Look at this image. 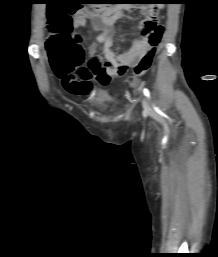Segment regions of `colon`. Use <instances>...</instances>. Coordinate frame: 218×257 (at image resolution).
Wrapping results in <instances>:
<instances>
[{
	"label": "colon",
	"mask_w": 218,
	"mask_h": 257,
	"mask_svg": "<svg viewBox=\"0 0 218 257\" xmlns=\"http://www.w3.org/2000/svg\"><path fill=\"white\" fill-rule=\"evenodd\" d=\"M80 9L79 5H48V29L50 35L46 46L51 64L59 77L69 78L76 69L82 67L85 61L80 35L72 32L71 14ZM137 10H149L147 17L141 22L142 35H147L150 49L134 67V76L145 74L153 61L155 47L160 42L163 27L154 5H137ZM89 67V64H88Z\"/></svg>",
	"instance_id": "colon-1"
}]
</instances>
